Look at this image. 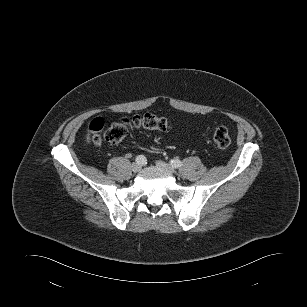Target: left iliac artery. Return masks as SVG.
I'll list each match as a JSON object with an SVG mask.
<instances>
[{"instance_id":"1","label":"left iliac artery","mask_w":307,"mask_h":307,"mask_svg":"<svg viewBox=\"0 0 307 307\" xmlns=\"http://www.w3.org/2000/svg\"><path fill=\"white\" fill-rule=\"evenodd\" d=\"M170 165L174 168H179L182 165V162L178 159H173L170 161Z\"/></svg>"}]
</instances>
